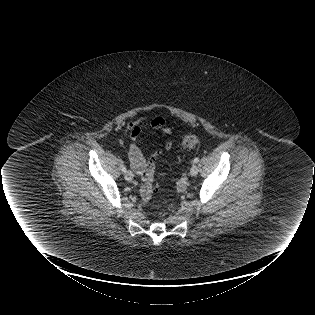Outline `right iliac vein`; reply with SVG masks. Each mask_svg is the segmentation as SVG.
I'll use <instances>...</instances> for the list:
<instances>
[{"mask_svg": "<svg viewBox=\"0 0 315 315\" xmlns=\"http://www.w3.org/2000/svg\"><path fill=\"white\" fill-rule=\"evenodd\" d=\"M133 177H134V175L130 170L125 173L126 180L131 181L133 179Z\"/></svg>", "mask_w": 315, "mask_h": 315, "instance_id": "obj_1", "label": "right iliac vein"}]
</instances>
